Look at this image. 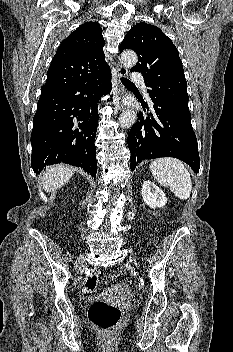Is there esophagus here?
I'll use <instances>...</instances> for the list:
<instances>
[{
  "label": "esophagus",
  "mask_w": 233,
  "mask_h": 352,
  "mask_svg": "<svg viewBox=\"0 0 233 352\" xmlns=\"http://www.w3.org/2000/svg\"><path fill=\"white\" fill-rule=\"evenodd\" d=\"M117 72H118V78H122V77H127L128 76V70L125 67L121 66V65L118 66ZM118 86H119V88H118L119 98L118 99L120 101L119 107H120L121 111H124L127 108H129V106L126 103H124L123 100H122V94H123L124 90H123V88L121 86V82L120 81H119V85Z\"/></svg>",
  "instance_id": "34e87169"
}]
</instances>
